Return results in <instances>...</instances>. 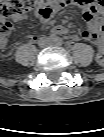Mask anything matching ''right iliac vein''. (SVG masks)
Listing matches in <instances>:
<instances>
[{
  "label": "right iliac vein",
  "mask_w": 104,
  "mask_h": 137,
  "mask_svg": "<svg viewBox=\"0 0 104 137\" xmlns=\"http://www.w3.org/2000/svg\"><path fill=\"white\" fill-rule=\"evenodd\" d=\"M46 46V44H42V47H45Z\"/></svg>",
  "instance_id": "right-iliac-vein-1"
}]
</instances>
